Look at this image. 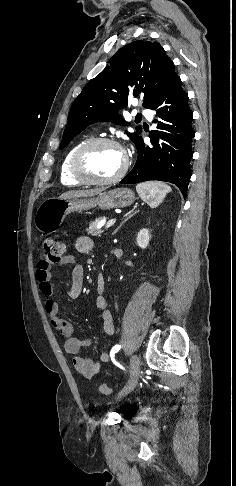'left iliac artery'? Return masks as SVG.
Masks as SVG:
<instances>
[{"mask_svg": "<svg viewBox=\"0 0 236 486\" xmlns=\"http://www.w3.org/2000/svg\"><path fill=\"white\" fill-rule=\"evenodd\" d=\"M121 346L120 345H115L112 349H111V352H110V356H111V359L113 361V363L115 365H117L118 367L124 369L118 362L115 361L114 359V355L115 353H117L119 350H120Z\"/></svg>", "mask_w": 236, "mask_h": 486, "instance_id": "1", "label": "left iliac artery"}]
</instances>
